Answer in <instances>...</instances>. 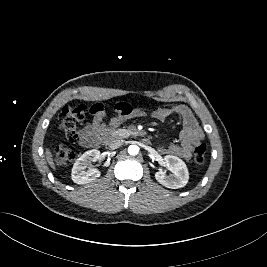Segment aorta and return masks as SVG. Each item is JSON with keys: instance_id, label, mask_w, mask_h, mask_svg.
I'll use <instances>...</instances> for the list:
<instances>
[{"instance_id": "1", "label": "aorta", "mask_w": 267, "mask_h": 267, "mask_svg": "<svg viewBox=\"0 0 267 267\" xmlns=\"http://www.w3.org/2000/svg\"><path fill=\"white\" fill-rule=\"evenodd\" d=\"M128 153L132 156H135L139 153V147L136 145H130L128 147Z\"/></svg>"}]
</instances>
